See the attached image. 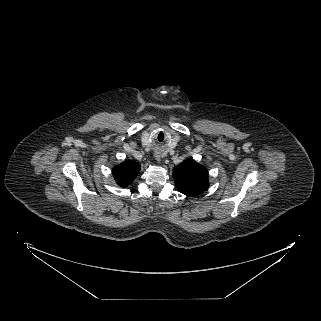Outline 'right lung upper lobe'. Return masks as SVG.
Returning a JSON list of instances; mask_svg holds the SVG:
<instances>
[{
  "mask_svg": "<svg viewBox=\"0 0 321 321\" xmlns=\"http://www.w3.org/2000/svg\"><path fill=\"white\" fill-rule=\"evenodd\" d=\"M140 165L126 160L124 163L114 167L113 174L116 182L122 186H128L137 176Z\"/></svg>",
  "mask_w": 321,
  "mask_h": 321,
  "instance_id": "right-lung-upper-lobe-1",
  "label": "right lung upper lobe"
}]
</instances>
